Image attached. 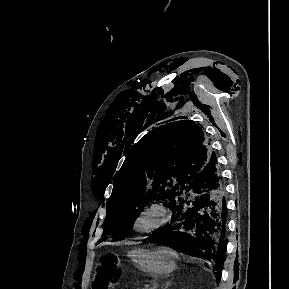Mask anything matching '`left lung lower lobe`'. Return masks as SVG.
Wrapping results in <instances>:
<instances>
[{"label":"left lung lower lobe","instance_id":"obj_1","mask_svg":"<svg viewBox=\"0 0 289 289\" xmlns=\"http://www.w3.org/2000/svg\"><path fill=\"white\" fill-rule=\"evenodd\" d=\"M168 226L157 229L149 241L215 264L220 280L227 239L226 199L223 180L214 154L204 169L172 204Z\"/></svg>","mask_w":289,"mask_h":289}]
</instances>
